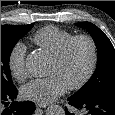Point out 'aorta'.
Instances as JSON below:
<instances>
[{
	"instance_id": "1",
	"label": "aorta",
	"mask_w": 115,
	"mask_h": 115,
	"mask_svg": "<svg viewBox=\"0 0 115 115\" xmlns=\"http://www.w3.org/2000/svg\"><path fill=\"white\" fill-rule=\"evenodd\" d=\"M46 58L38 53H31L26 61V67L33 76H43L47 71ZM46 115H65V110L59 105H50L46 110Z\"/></svg>"
}]
</instances>
